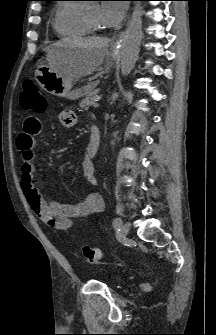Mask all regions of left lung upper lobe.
I'll return each instance as SVG.
<instances>
[{
  "label": "left lung upper lobe",
  "mask_w": 216,
  "mask_h": 335,
  "mask_svg": "<svg viewBox=\"0 0 216 335\" xmlns=\"http://www.w3.org/2000/svg\"><path fill=\"white\" fill-rule=\"evenodd\" d=\"M45 1H54V0H45Z\"/></svg>",
  "instance_id": "5c2ea615"
}]
</instances>
